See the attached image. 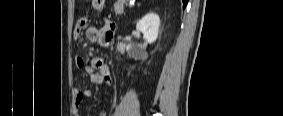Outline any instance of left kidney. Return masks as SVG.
Masks as SVG:
<instances>
[{
    "instance_id": "left-kidney-1",
    "label": "left kidney",
    "mask_w": 283,
    "mask_h": 116,
    "mask_svg": "<svg viewBox=\"0 0 283 116\" xmlns=\"http://www.w3.org/2000/svg\"><path fill=\"white\" fill-rule=\"evenodd\" d=\"M159 25V16L155 13L150 12L137 22L136 29L143 33V37L146 43L151 44L158 37ZM126 49L129 56L134 59H146L148 56L144 45H139L137 49L130 45Z\"/></svg>"
}]
</instances>
